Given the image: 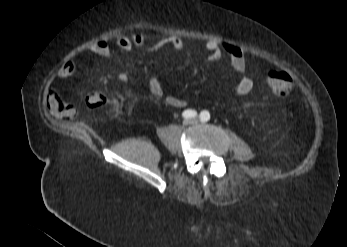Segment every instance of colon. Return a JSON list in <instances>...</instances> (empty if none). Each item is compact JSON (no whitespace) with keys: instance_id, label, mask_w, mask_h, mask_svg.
I'll return each mask as SVG.
<instances>
[{"instance_id":"5ec220e1","label":"colon","mask_w":347,"mask_h":247,"mask_svg":"<svg viewBox=\"0 0 347 247\" xmlns=\"http://www.w3.org/2000/svg\"><path fill=\"white\" fill-rule=\"evenodd\" d=\"M271 92L278 97L287 96L293 87L292 78L284 70L272 71L267 79ZM106 103V97L100 92H92L83 99V104L87 108H100Z\"/></svg>"}]
</instances>
